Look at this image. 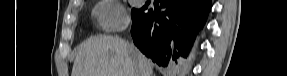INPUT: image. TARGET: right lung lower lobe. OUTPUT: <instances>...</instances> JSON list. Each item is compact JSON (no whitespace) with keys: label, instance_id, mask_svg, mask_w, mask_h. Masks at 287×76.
I'll list each match as a JSON object with an SVG mask.
<instances>
[{"label":"right lung lower lobe","instance_id":"98d812e1","mask_svg":"<svg viewBox=\"0 0 287 76\" xmlns=\"http://www.w3.org/2000/svg\"><path fill=\"white\" fill-rule=\"evenodd\" d=\"M165 10H148L132 24L134 44L160 66L186 58L195 35L203 27L211 0H162Z\"/></svg>","mask_w":287,"mask_h":76}]
</instances>
